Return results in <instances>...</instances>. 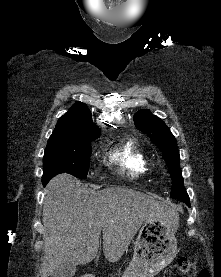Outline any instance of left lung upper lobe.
Wrapping results in <instances>:
<instances>
[{"label":"left lung upper lobe","mask_w":221,"mask_h":277,"mask_svg":"<svg viewBox=\"0 0 221 277\" xmlns=\"http://www.w3.org/2000/svg\"><path fill=\"white\" fill-rule=\"evenodd\" d=\"M136 126L147 134L151 141L164 153L165 161L169 167L172 179L170 197L184 201L189 196L185 190L182 172L179 167V150L176 139L165 123L148 110L141 109L134 115Z\"/></svg>","instance_id":"left-lung-upper-lobe-1"}]
</instances>
